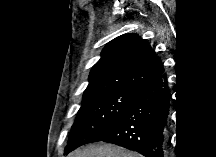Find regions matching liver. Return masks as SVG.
I'll use <instances>...</instances> for the list:
<instances>
[{
    "mask_svg": "<svg viewBox=\"0 0 216 157\" xmlns=\"http://www.w3.org/2000/svg\"><path fill=\"white\" fill-rule=\"evenodd\" d=\"M70 157H139L138 153L111 144L90 145L78 150Z\"/></svg>",
    "mask_w": 216,
    "mask_h": 157,
    "instance_id": "obj_1",
    "label": "liver"
}]
</instances>
